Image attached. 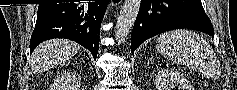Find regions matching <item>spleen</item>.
<instances>
[{"label": "spleen", "instance_id": "3e777b00", "mask_svg": "<svg viewBox=\"0 0 237 90\" xmlns=\"http://www.w3.org/2000/svg\"><path fill=\"white\" fill-rule=\"evenodd\" d=\"M156 48L174 64L189 66L204 76L216 72L218 60L212 48L191 30H172L161 34L156 40Z\"/></svg>", "mask_w": 237, "mask_h": 90}]
</instances>
